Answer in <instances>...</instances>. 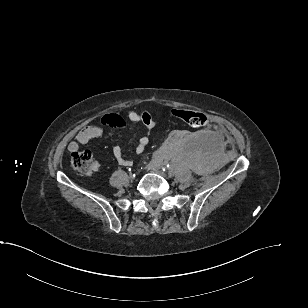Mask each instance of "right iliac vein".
I'll list each match as a JSON object with an SVG mask.
<instances>
[{
	"instance_id": "63e3f726",
	"label": "right iliac vein",
	"mask_w": 308,
	"mask_h": 308,
	"mask_svg": "<svg viewBox=\"0 0 308 308\" xmlns=\"http://www.w3.org/2000/svg\"><path fill=\"white\" fill-rule=\"evenodd\" d=\"M129 178H130V179H133V178H134V176L130 173Z\"/></svg>"
}]
</instances>
